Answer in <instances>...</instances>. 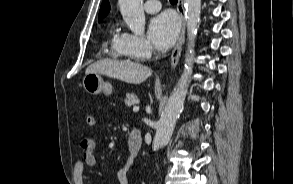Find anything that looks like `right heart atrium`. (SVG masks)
<instances>
[{
	"label": "right heart atrium",
	"instance_id": "obj_1",
	"mask_svg": "<svg viewBox=\"0 0 293 184\" xmlns=\"http://www.w3.org/2000/svg\"><path fill=\"white\" fill-rule=\"evenodd\" d=\"M121 35L123 44L134 57L144 59L153 53V47L145 37L131 33Z\"/></svg>",
	"mask_w": 293,
	"mask_h": 184
}]
</instances>
